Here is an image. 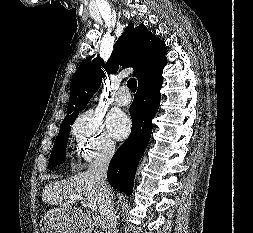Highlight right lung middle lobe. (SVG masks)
<instances>
[{"label":"right lung middle lobe","instance_id":"1","mask_svg":"<svg viewBox=\"0 0 253 233\" xmlns=\"http://www.w3.org/2000/svg\"><path fill=\"white\" fill-rule=\"evenodd\" d=\"M78 114L74 116H70L65 118L62 122L60 132L55 140L50 160H49V167L52 168L56 165L63 163L66 159V150L65 145L67 143V139L70 133V125L73 124L74 120Z\"/></svg>","mask_w":253,"mask_h":233}]
</instances>
